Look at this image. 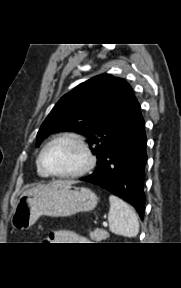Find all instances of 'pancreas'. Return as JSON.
Masks as SVG:
<instances>
[{"instance_id": "pancreas-1", "label": "pancreas", "mask_w": 181, "mask_h": 288, "mask_svg": "<svg viewBox=\"0 0 181 288\" xmlns=\"http://www.w3.org/2000/svg\"><path fill=\"white\" fill-rule=\"evenodd\" d=\"M109 237V234L104 229H95L94 231H90V238L94 241L105 240Z\"/></svg>"}]
</instances>
